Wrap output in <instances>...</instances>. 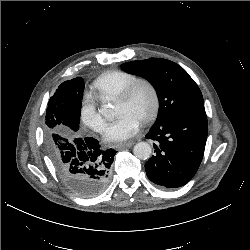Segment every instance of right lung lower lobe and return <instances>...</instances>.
<instances>
[{"label":"right lung lower lobe","mask_w":250,"mask_h":250,"mask_svg":"<svg viewBox=\"0 0 250 250\" xmlns=\"http://www.w3.org/2000/svg\"><path fill=\"white\" fill-rule=\"evenodd\" d=\"M52 161L67 187L82 198L94 197L107 187L116 151L102 150L92 137L64 138Z\"/></svg>","instance_id":"obj_1"}]
</instances>
